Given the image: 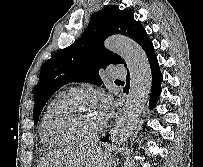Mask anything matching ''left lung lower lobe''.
<instances>
[{"mask_svg": "<svg viewBox=\"0 0 203 167\" xmlns=\"http://www.w3.org/2000/svg\"><path fill=\"white\" fill-rule=\"evenodd\" d=\"M143 50L145 51L149 64H150V68H151V73H152V88H151V95H150V108L152 109L155 104L156 101L160 95L161 92V82L163 80V76L161 74V71L159 69V64L154 52V47L153 44L151 42V40H149L143 47ZM129 77L127 76V85L126 87H128V83H129ZM101 141L103 142H111L109 135H106L105 137H103L101 139Z\"/></svg>", "mask_w": 203, "mask_h": 167, "instance_id": "left-lung-lower-lobe-1", "label": "left lung lower lobe"}]
</instances>
